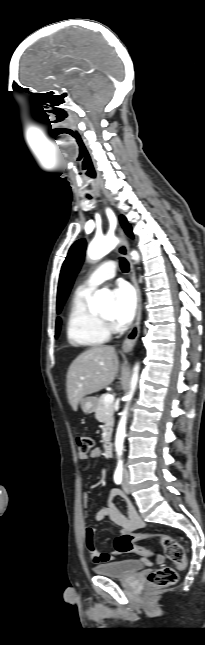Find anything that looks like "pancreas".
I'll list each match as a JSON object with an SVG mask.
<instances>
[{
	"label": "pancreas",
	"mask_w": 205,
	"mask_h": 645,
	"mask_svg": "<svg viewBox=\"0 0 205 645\" xmlns=\"http://www.w3.org/2000/svg\"><path fill=\"white\" fill-rule=\"evenodd\" d=\"M105 394L101 395L98 398L97 406L95 409V417L99 422L104 423L102 430V438L104 442L110 440L112 435V427L114 425V404L105 403L104 401Z\"/></svg>",
	"instance_id": "pancreas-1"
}]
</instances>
